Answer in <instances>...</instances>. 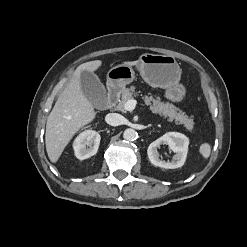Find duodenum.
Returning a JSON list of instances; mask_svg holds the SVG:
<instances>
[{
    "label": "duodenum",
    "mask_w": 247,
    "mask_h": 247,
    "mask_svg": "<svg viewBox=\"0 0 247 247\" xmlns=\"http://www.w3.org/2000/svg\"><path fill=\"white\" fill-rule=\"evenodd\" d=\"M118 98H119V89L114 86L110 87L107 92L106 107L111 108L113 105L116 104Z\"/></svg>",
    "instance_id": "410a0bca"
}]
</instances>
